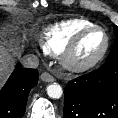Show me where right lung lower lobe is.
<instances>
[{
	"label": "right lung lower lobe",
	"mask_w": 118,
	"mask_h": 118,
	"mask_svg": "<svg viewBox=\"0 0 118 118\" xmlns=\"http://www.w3.org/2000/svg\"><path fill=\"white\" fill-rule=\"evenodd\" d=\"M38 83V70L18 69L0 90V118H22L29 91Z\"/></svg>",
	"instance_id": "obj_1"
}]
</instances>
